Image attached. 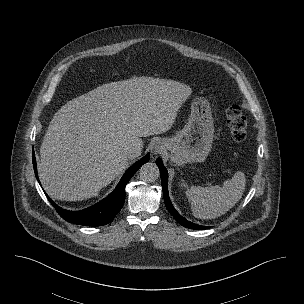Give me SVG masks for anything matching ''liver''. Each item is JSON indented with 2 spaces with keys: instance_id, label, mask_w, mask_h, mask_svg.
Returning a JSON list of instances; mask_svg holds the SVG:
<instances>
[{
  "instance_id": "6515ba94",
  "label": "liver",
  "mask_w": 304,
  "mask_h": 304,
  "mask_svg": "<svg viewBox=\"0 0 304 304\" xmlns=\"http://www.w3.org/2000/svg\"><path fill=\"white\" fill-rule=\"evenodd\" d=\"M191 93L186 84L141 76L68 101L40 147L38 173L47 194L65 201L95 196L127 167V148L142 151L140 137L168 131Z\"/></svg>"
}]
</instances>
